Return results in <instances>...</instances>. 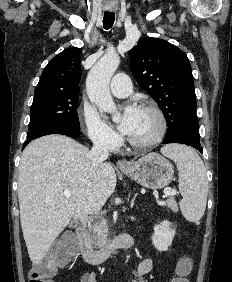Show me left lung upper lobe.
I'll return each instance as SVG.
<instances>
[{"label": "left lung upper lobe", "mask_w": 232, "mask_h": 282, "mask_svg": "<svg viewBox=\"0 0 232 282\" xmlns=\"http://www.w3.org/2000/svg\"><path fill=\"white\" fill-rule=\"evenodd\" d=\"M130 70L157 102L168 125L198 129L194 81L183 51L162 39L140 40L131 50Z\"/></svg>", "instance_id": "5c2ea615"}]
</instances>
